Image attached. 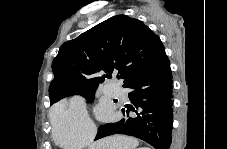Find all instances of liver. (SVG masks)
Returning <instances> with one entry per match:
<instances>
[{"label": "liver", "mask_w": 227, "mask_h": 149, "mask_svg": "<svg viewBox=\"0 0 227 149\" xmlns=\"http://www.w3.org/2000/svg\"><path fill=\"white\" fill-rule=\"evenodd\" d=\"M137 139L124 135H114L94 142L89 149H136Z\"/></svg>", "instance_id": "liver-1"}]
</instances>
